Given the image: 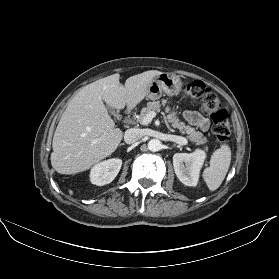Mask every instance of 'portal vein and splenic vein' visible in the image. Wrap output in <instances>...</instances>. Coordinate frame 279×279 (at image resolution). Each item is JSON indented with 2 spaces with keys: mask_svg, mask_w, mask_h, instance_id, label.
<instances>
[{
  "mask_svg": "<svg viewBox=\"0 0 279 279\" xmlns=\"http://www.w3.org/2000/svg\"><path fill=\"white\" fill-rule=\"evenodd\" d=\"M156 116V112H149L146 114V116L143 118V121H142V125H148L152 120L153 118Z\"/></svg>",
  "mask_w": 279,
  "mask_h": 279,
  "instance_id": "18ae733b",
  "label": "portal vein and splenic vein"
}]
</instances>
